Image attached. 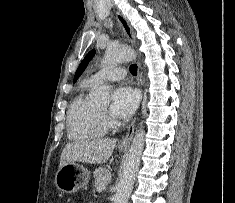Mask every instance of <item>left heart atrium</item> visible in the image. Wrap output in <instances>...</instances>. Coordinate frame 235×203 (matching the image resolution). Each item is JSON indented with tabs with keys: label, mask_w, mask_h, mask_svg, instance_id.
I'll list each match as a JSON object with an SVG mask.
<instances>
[{
	"label": "left heart atrium",
	"mask_w": 235,
	"mask_h": 203,
	"mask_svg": "<svg viewBox=\"0 0 235 203\" xmlns=\"http://www.w3.org/2000/svg\"><path fill=\"white\" fill-rule=\"evenodd\" d=\"M138 102L139 94L135 89L119 86L113 92L110 112L116 119H126L133 114Z\"/></svg>",
	"instance_id": "obj_1"
}]
</instances>
